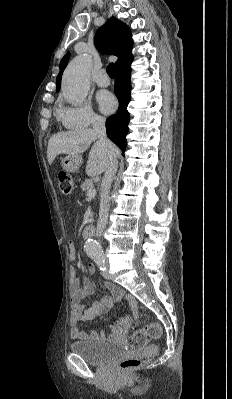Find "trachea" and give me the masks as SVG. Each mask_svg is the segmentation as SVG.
<instances>
[{"instance_id": "3493384b", "label": "trachea", "mask_w": 232, "mask_h": 399, "mask_svg": "<svg viewBox=\"0 0 232 399\" xmlns=\"http://www.w3.org/2000/svg\"><path fill=\"white\" fill-rule=\"evenodd\" d=\"M107 73H108L109 77H115L114 64L113 63H110L107 66Z\"/></svg>"}]
</instances>
